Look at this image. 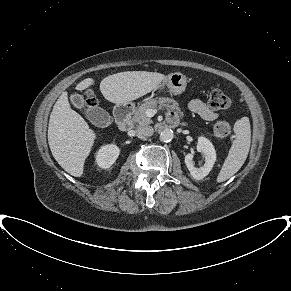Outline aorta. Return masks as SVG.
<instances>
[{"instance_id":"762f6f07","label":"aorta","mask_w":291,"mask_h":291,"mask_svg":"<svg viewBox=\"0 0 291 291\" xmlns=\"http://www.w3.org/2000/svg\"><path fill=\"white\" fill-rule=\"evenodd\" d=\"M174 137L173 131L171 129H164L160 133V140L162 142H170Z\"/></svg>"}]
</instances>
